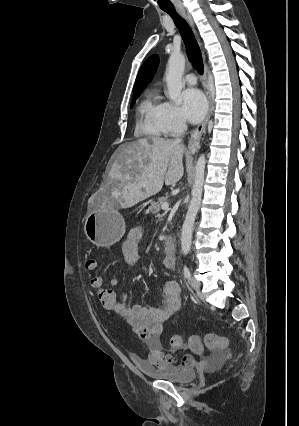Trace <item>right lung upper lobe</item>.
<instances>
[{"instance_id":"1","label":"right lung upper lobe","mask_w":299,"mask_h":426,"mask_svg":"<svg viewBox=\"0 0 299 426\" xmlns=\"http://www.w3.org/2000/svg\"><path fill=\"white\" fill-rule=\"evenodd\" d=\"M158 64L159 58L157 55H152L144 62L137 75L133 92L143 91V89L151 82Z\"/></svg>"}]
</instances>
